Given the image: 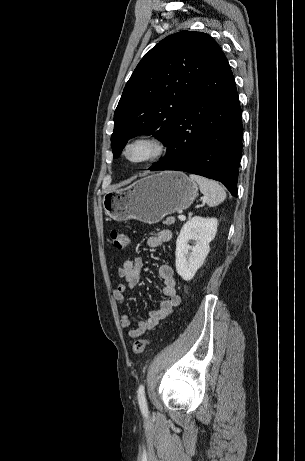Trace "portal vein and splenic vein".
Here are the masks:
<instances>
[{
	"mask_svg": "<svg viewBox=\"0 0 305 461\" xmlns=\"http://www.w3.org/2000/svg\"><path fill=\"white\" fill-rule=\"evenodd\" d=\"M178 218L181 220V221H185L186 220V216H184L183 214H180L178 216Z\"/></svg>",
	"mask_w": 305,
	"mask_h": 461,
	"instance_id": "obj_1",
	"label": "portal vein and splenic vein"
}]
</instances>
